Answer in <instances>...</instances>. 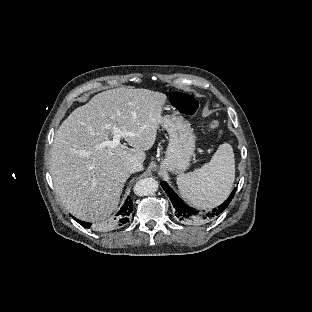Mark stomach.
I'll return each mask as SVG.
<instances>
[{"label": "stomach", "instance_id": "obj_1", "mask_svg": "<svg viewBox=\"0 0 312 312\" xmlns=\"http://www.w3.org/2000/svg\"><path fill=\"white\" fill-rule=\"evenodd\" d=\"M162 126L169 134V144L161 168L183 173L194 154L196 137L190 123L182 116L172 114L162 117Z\"/></svg>", "mask_w": 312, "mask_h": 312}]
</instances>
